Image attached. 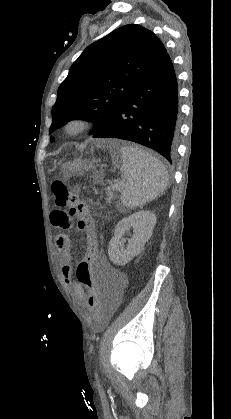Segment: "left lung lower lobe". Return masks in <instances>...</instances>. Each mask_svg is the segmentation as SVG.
<instances>
[{"mask_svg":"<svg viewBox=\"0 0 231 419\" xmlns=\"http://www.w3.org/2000/svg\"><path fill=\"white\" fill-rule=\"evenodd\" d=\"M93 137L139 143L172 164L178 137V90L168 54L135 84L110 123Z\"/></svg>","mask_w":231,"mask_h":419,"instance_id":"0a47b994","label":"left lung lower lobe"}]
</instances>
